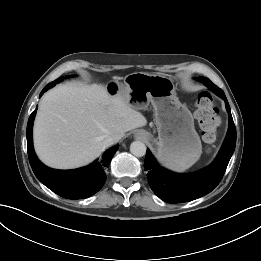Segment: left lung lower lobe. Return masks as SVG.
I'll return each mask as SVG.
<instances>
[{
	"instance_id": "left-lung-lower-lobe-1",
	"label": "left lung lower lobe",
	"mask_w": 261,
	"mask_h": 261,
	"mask_svg": "<svg viewBox=\"0 0 261 261\" xmlns=\"http://www.w3.org/2000/svg\"><path fill=\"white\" fill-rule=\"evenodd\" d=\"M197 80L203 82L211 91L224 99L229 115V128L214 162L199 172L191 174L170 172L159 166L147 149L144 169L148 172L149 185L160 199L168 203L188 202L210 193L221 181L236 145V129L224 92L208 78L200 77Z\"/></svg>"
}]
</instances>
